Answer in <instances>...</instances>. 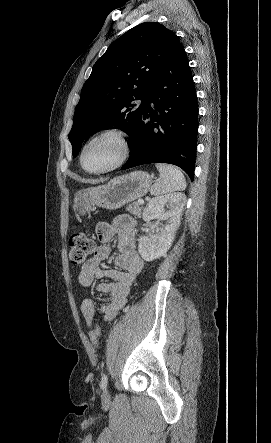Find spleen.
I'll return each instance as SVG.
<instances>
[{"label": "spleen", "instance_id": "obj_1", "mask_svg": "<svg viewBox=\"0 0 271 443\" xmlns=\"http://www.w3.org/2000/svg\"><path fill=\"white\" fill-rule=\"evenodd\" d=\"M156 168L160 174L158 182L151 186V196H163L170 192H183L186 190V180L179 168L175 166H166V164H156Z\"/></svg>", "mask_w": 271, "mask_h": 443}]
</instances>
